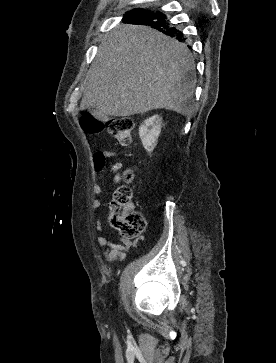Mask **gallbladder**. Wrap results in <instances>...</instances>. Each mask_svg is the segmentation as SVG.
Returning a JSON list of instances; mask_svg holds the SVG:
<instances>
[{
    "label": "gallbladder",
    "instance_id": "1",
    "mask_svg": "<svg viewBox=\"0 0 276 363\" xmlns=\"http://www.w3.org/2000/svg\"><path fill=\"white\" fill-rule=\"evenodd\" d=\"M89 109L91 110V112H94V111H95V109H94V108H92V107H91V108H89ZM107 118H108V116H106V115H105V116H101V117H100V120H101V121H104V120H106Z\"/></svg>",
    "mask_w": 276,
    "mask_h": 363
}]
</instances>
